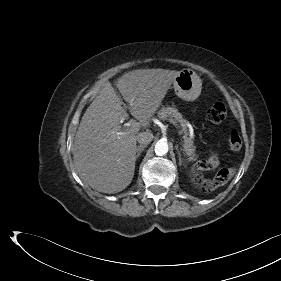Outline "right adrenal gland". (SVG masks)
Returning <instances> with one entry per match:
<instances>
[{
    "instance_id": "obj_1",
    "label": "right adrenal gland",
    "mask_w": 281,
    "mask_h": 281,
    "mask_svg": "<svg viewBox=\"0 0 281 281\" xmlns=\"http://www.w3.org/2000/svg\"><path fill=\"white\" fill-rule=\"evenodd\" d=\"M145 147H146V146H142V145H140V146L137 147L136 159H138V158L140 157V155H141V153L143 152V150H144Z\"/></svg>"
}]
</instances>
